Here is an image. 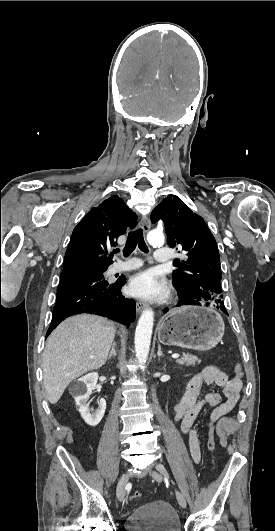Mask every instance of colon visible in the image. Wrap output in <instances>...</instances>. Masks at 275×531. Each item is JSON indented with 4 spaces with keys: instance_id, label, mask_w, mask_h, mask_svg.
<instances>
[{
    "instance_id": "5ec220e1",
    "label": "colon",
    "mask_w": 275,
    "mask_h": 531,
    "mask_svg": "<svg viewBox=\"0 0 275 531\" xmlns=\"http://www.w3.org/2000/svg\"><path fill=\"white\" fill-rule=\"evenodd\" d=\"M234 371H235V374L238 377H242L243 369H242L240 364H236L234 366ZM215 427H216V424L214 422H211L209 424V426L206 428L205 432H204L205 437L208 438V448H209V450L212 453L211 454L212 455V462H213V457H214L213 451H214V447H215V443H214ZM140 496L141 495H140L139 491H136V493L131 496V499L132 500H136V499H139Z\"/></svg>"
}]
</instances>
